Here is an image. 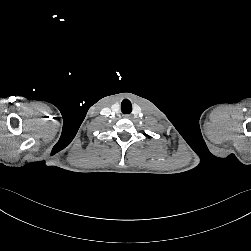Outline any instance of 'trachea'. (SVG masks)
<instances>
[{"mask_svg": "<svg viewBox=\"0 0 251 251\" xmlns=\"http://www.w3.org/2000/svg\"><path fill=\"white\" fill-rule=\"evenodd\" d=\"M121 111L123 114H130L132 112V105L129 100H123L121 104Z\"/></svg>", "mask_w": 251, "mask_h": 251, "instance_id": "3493384b", "label": "trachea"}]
</instances>
